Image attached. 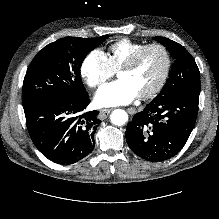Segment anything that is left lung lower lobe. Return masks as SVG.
<instances>
[{
    "label": "left lung lower lobe",
    "instance_id": "1",
    "mask_svg": "<svg viewBox=\"0 0 219 219\" xmlns=\"http://www.w3.org/2000/svg\"><path fill=\"white\" fill-rule=\"evenodd\" d=\"M200 88H186L153 100L134 115L126 128L131 150L148 161H164L185 145L198 114Z\"/></svg>",
    "mask_w": 219,
    "mask_h": 219
}]
</instances>
